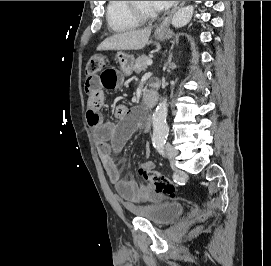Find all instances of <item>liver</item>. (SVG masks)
Listing matches in <instances>:
<instances>
[{
  "mask_svg": "<svg viewBox=\"0 0 271 266\" xmlns=\"http://www.w3.org/2000/svg\"><path fill=\"white\" fill-rule=\"evenodd\" d=\"M151 28L131 30L106 38L97 50H140L148 43Z\"/></svg>",
  "mask_w": 271,
  "mask_h": 266,
  "instance_id": "obj_1",
  "label": "liver"
}]
</instances>
